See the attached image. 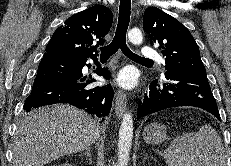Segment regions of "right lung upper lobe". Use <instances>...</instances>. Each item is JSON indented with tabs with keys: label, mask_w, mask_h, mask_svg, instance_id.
<instances>
[{
	"label": "right lung upper lobe",
	"mask_w": 231,
	"mask_h": 166,
	"mask_svg": "<svg viewBox=\"0 0 231 166\" xmlns=\"http://www.w3.org/2000/svg\"><path fill=\"white\" fill-rule=\"evenodd\" d=\"M112 21V12L104 5L92 6L74 14L53 33L44 55L72 59L96 58V48L104 43L103 38L109 32ZM93 41H97L95 46H92Z\"/></svg>",
	"instance_id": "cb5924a9"
}]
</instances>
